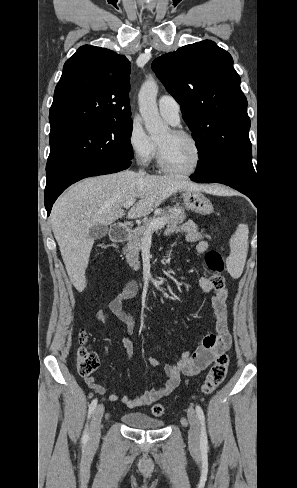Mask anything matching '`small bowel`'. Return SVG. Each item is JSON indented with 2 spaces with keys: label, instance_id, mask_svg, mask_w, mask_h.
<instances>
[{
  "label": "small bowel",
  "instance_id": "c3829d8e",
  "mask_svg": "<svg viewBox=\"0 0 297 488\" xmlns=\"http://www.w3.org/2000/svg\"><path fill=\"white\" fill-rule=\"evenodd\" d=\"M181 232L189 243H196L195 250L199 254H204L208 249V243L204 240V235L199 231L197 225L192 221H187L181 226H170L166 229V235ZM199 287L204 293H211V307L215 315V332L206 335L202 344L192 351H185L180 359L174 363L164 365L165 382L157 389L139 392L135 397L128 395L119 396L111 394L109 401H120L128 407L139 405H150L158 400L169 396L177 388L182 376H195L205 370L219 355L224 353L231 343V337L227 326V298L228 293L225 289L216 290L212 281L208 277L199 279ZM138 290L135 280L128 281L122 290L109 302L108 310L116 316L125 327V335L122 343L126 351V363H131L134 357V344L129 338L133 332L136 321L130 311L126 309L127 302L132 299ZM99 321H108V312L100 310L96 315ZM148 362L152 366H158L161 361L155 357H149ZM87 386L96 394H104L106 386L96 382L95 377L88 376L85 379Z\"/></svg>",
  "mask_w": 297,
  "mask_h": 488
}]
</instances>
